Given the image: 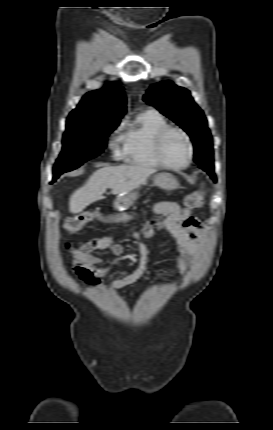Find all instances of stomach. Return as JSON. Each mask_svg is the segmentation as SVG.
<instances>
[{"mask_svg":"<svg viewBox=\"0 0 273 430\" xmlns=\"http://www.w3.org/2000/svg\"><path fill=\"white\" fill-rule=\"evenodd\" d=\"M154 183L156 186L167 191L178 189L180 186L176 178L170 173L156 174L154 176ZM136 198V192H129L127 194L120 195L116 199L114 206L117 210L128 209Z\"/></svg>","mask_w":273,"mask_h":430,"instance_id":"0dacf381","label":"stomach"}]
</instances>
